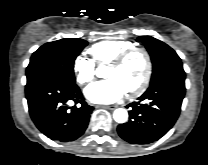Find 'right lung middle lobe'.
<instances>
[{
  "instance_id": "1",
  "label": "right lung middle lobe",
  "mask_w": 208,
  "mask_h": 165,
  "mask_svg": "<svg viewBox=\"0 0 208 165\" xmlns=\"http://www.w3.org/2000/svg\"><path fill=\"white\" fill-rule=\"evenodd\" d=\"M88 44L83 39H61L41 46L32 54L26 69L27 84L44 78H56L75 83L74 61Z\"/></svg>"
}]
</instances>
